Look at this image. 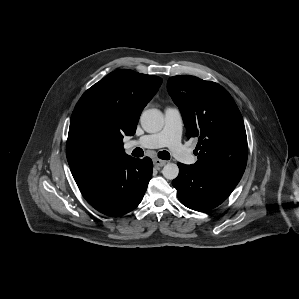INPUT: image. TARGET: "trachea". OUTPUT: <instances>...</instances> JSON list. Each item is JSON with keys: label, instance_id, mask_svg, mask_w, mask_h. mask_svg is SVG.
I'll list each match as a JSON object with an SVG mask.
<instances>
[{"label": "trachea", "instance_id": "obj_1", "mask_svg": "<svg viewBox=\"0 0 299 299\" xmlns=\"http://www.w3.org/2000/svg\"><path fill=\"white\" fill-rule=\"evenodd\" d=\"M133 153H134V156H136V157H142L144 155V152H143V150L141 148H136L133 151ZM158 157L160 159H163V160H169L170 159V154L167 151H160L158 153Z\"/></svg>", "mask_w": 299, "mask_h": 299}]
</instances>
